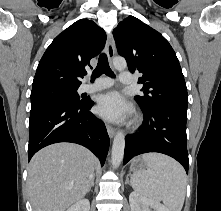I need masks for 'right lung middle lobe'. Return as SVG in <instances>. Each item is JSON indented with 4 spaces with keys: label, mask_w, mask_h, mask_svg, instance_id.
<instances>
[{
    "label": "right lung middle lobe",
    "mask_w": 221,
    "mask_h": 211,
    "mask_svg": "<svg viewBox=\"0 0 221 211\" xmlns=\"http://www.w3.org/2000/svg\"><path fill=\"white\" fill-rule=\"evenodd\" d=\"M78 88H46L31 92V106L50 101H64L72 104L82 103Z\"/></svg>",
    "instance_id": "dd1d6c3e"
}]
</instances>
